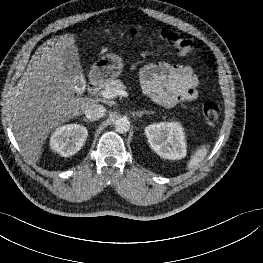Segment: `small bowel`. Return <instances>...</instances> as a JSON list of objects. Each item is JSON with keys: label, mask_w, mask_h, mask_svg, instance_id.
<instances>
[{"label": "small bowel", "mask_w": 263, "mask_h": 263, "mask_svg": "<svg viewBox=\"0 0 263 263\" xmlns=\"http://www.w3.org/2000/svg\"><path fill=\"white\" fill-rule=\"evenodd\" d=\"M140 79L143 92L162 106L172 107L198 97V78L187 65L149 63L141 68Z\"/></svg>", "instance_id": "1"}]
</instances>
